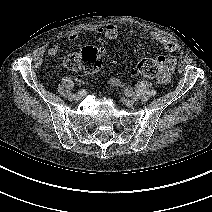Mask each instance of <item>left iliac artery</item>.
I'll return each instance as SVG.
<instances>
[{
	"mask_svg": "<svg viewBox=\"0 0 212 212\" xmlns=\"http://www.w3.org/2000/svg\"><path fill=\"white\" fill-rule=\"evenodd\" d=\"M111 81H112L113 84H116V85L120 84L119 80H117V79H112ZM126 92H127L128 96H131L133 99H135V100L139 99L138 95L135 94L134 92H132L128 89H126Z\"/></svg>",
	"mask_w": 212,
	"mask_h": 212,
	"instance_id": "obj_1",
	"label": "left iliac artery"
}]
</instances>
